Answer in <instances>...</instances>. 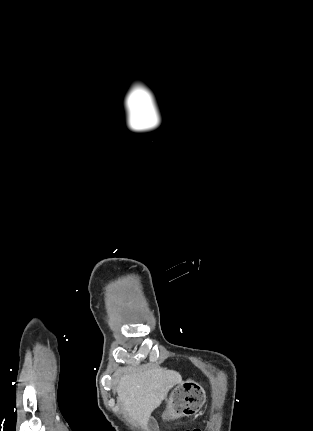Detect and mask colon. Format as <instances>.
I'll return each mask as SVG.
<instances>
[{
    "label": "colon",
    "instance_id": "1",
    "mask_svg": "<svg viewBox=\"0 0 313 431\" xmlns=\"http://www.w3.org/2000/svg\"><path fill=\"white\" fill-rule=\"evenodd\" d=\"M191 431H201L200 429H193V430H191Z\"/></svg>",
    "mask_w": 313,
    "mask_h": 431
}]
</instances>
